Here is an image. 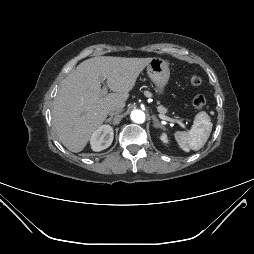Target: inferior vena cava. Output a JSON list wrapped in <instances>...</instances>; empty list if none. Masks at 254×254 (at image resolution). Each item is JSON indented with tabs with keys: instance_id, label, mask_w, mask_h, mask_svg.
Segmentation results:
<instances>
[{
	"instance_id": "inferior-vena-cava-1",
	"label": "inferior vena cava",
	"mask_w": 254,
	"mask_h": 254,
	"mask_svg": "<svg viewBox=\"0 0 254 254\" xmlns=\"http://www.w3.org/2000/svg\"><path fill=\"white\" fill-rule=\"evenodd\" d=\"M122 110H123V108L120 106H113L109 110V115H111V116L116 115V114L120 113Z\"/></svg>"
}]
</instances>
